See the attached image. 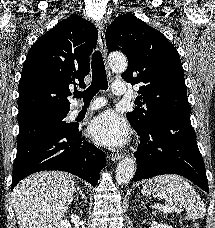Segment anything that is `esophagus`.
<instances>
[{
	"instance_id": "esophagus-1",
	"label": "esophagus",
	"mask_w": 215,
	"mask_h": 228,
	"mask_svg": "<svg viewBox=\"0 0 215 228\" xmlns=\"http://www.w3.org/2000/svg\"><path fill=\"white\" fill-rule=\"evenodd\" d=\"M98 43H99V47H100L103 57L106 58L107 48H106V39H105V28H104V25H102V24L99 25V27H98ZM107 73L109 76L111 75L109 68H107ZM122 157H123V155L116 154V155L112 156L111 159H112V161H117V160H120Z\"/></svg>"
}]
</instances>
